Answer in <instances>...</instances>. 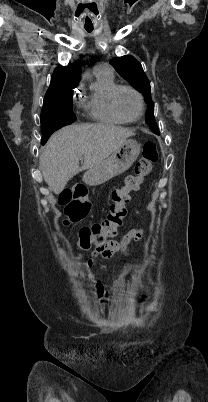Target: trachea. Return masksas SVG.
<instances>
[{
    "label": "trachea",
    "instance_id": "3493384b",
    "mask_svg": "<svg viewBox=\"0 0 208 402\" xmlns=\"http://www.w3.org/2000/svg\"><path fill=\"white\" fill-rule=\"evenodd\" d=\"M85 30H86L88 33H91V32L93 31V27H85Z\"/></svg>",
    "mask_w": 208,
    "mask_h": 402
}]
</instances>
